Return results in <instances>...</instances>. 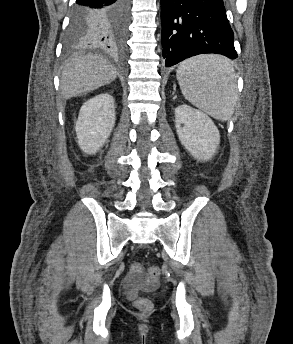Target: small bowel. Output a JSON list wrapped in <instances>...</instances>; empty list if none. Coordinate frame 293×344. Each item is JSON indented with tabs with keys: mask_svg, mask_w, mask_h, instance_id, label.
I'll use <instances>...</instances> for the list:
<instances>
[{
	"mask_svg": "<svg viewBox=\"0 0 293 344\" xmlns=\"http://www.w3.org/2000/svg\"><path fill=\"white\" fill-rule=\"evenodd\" d=\"M123 292L129 298L134 297L137 292L136 282L129 274L126 276Z\"/></svg>",
	"mask_w": 293,
	"mask_h": 344,
	"instance_id": "obj_1",
	"label": "small bowel"
}]
</instances>
